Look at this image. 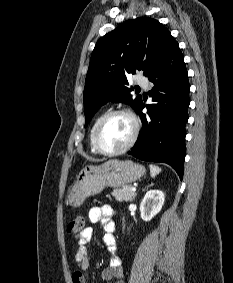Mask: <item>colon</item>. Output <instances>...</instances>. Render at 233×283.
Returning a JSON list of instances; mask_svg holds the SVG:
<instances>
[{
  "label": "colon",
  "mask_w": 233,
  "mask_h": 283,
  "mask_svg": "<svg viewBox=\"0 0 233 283\" xmlns=\"http://www.w3.org/2000/svg\"><path fill=\"white\" fill-rule=\"evenodd\" d=\"M85 226V218L82 215L74 217L67 225V233L73 236L81 235Z\"/></svg>",
  "instance_id": "obj_1"
}]
</instances>
